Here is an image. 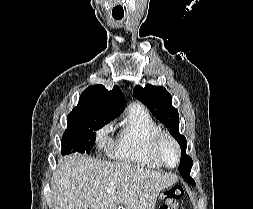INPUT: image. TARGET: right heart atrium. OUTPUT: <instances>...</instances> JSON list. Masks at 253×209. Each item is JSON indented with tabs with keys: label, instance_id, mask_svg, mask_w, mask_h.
Returning <instances> with one entry per match:
<instances>
[{
	"label": "right heart atrium",
	"instance_id": "1",
	"mask_svg": "<svg viewBox=\"0 0 253 209\" xmlns=\"http://www.w3.org/2000/svg\"><path fill=\"white\" fill-rule=\"evenodd\" d=\"M110 127L108 125L103 126L96 132L97 143L103 145L109 141Z\"/></svg>",
	"mask_w": 253,
	"mask_h": 209
}]
</instances>
